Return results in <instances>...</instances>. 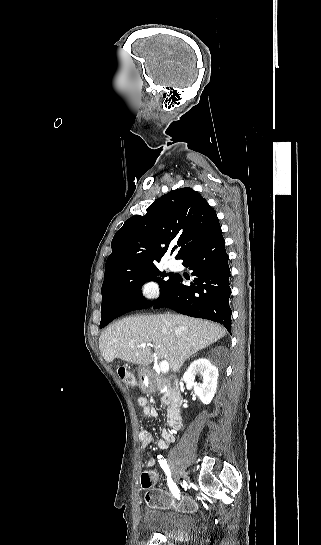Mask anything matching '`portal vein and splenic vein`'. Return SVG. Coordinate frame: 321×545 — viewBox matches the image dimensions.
<instances>
[{"label": "portal vein and splenic vein", "mask_w": 321, "mask_h": 545, "mask_svg": "<svg viewBox=\"0 0 321 545\" xmlns=\"http://www.w3.org/2000/svg\"><path fill=\"white\" fill-rule=\"evenodd\" d=\"M141 347H147L146 343H142ZM159 369L161 373H168L169 365L167 361H162V363H159Z\"/></svg>", "instance_id": "obj_1"}]
</instances>
